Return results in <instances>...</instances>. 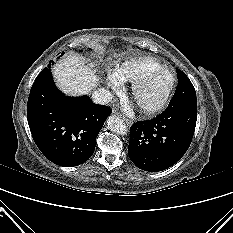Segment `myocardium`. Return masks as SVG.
I'll return each instance as SVG.
<instances>
[{
  "label": "myocardium",
  "mask_w": 233,
  "mask_h": 233,
  "mask_svg": "<svg viewBox=\"0 0 233 233\" xmlns=\"http://www.w3.org/2000/svg\"><path fill=\"white\" fill-rule=\"evenodd\" d=\"M156 73H163L167 75L169 78V84L162 96L158 100L150 104H143L139 100L140 92L143 89V87L147 84V82L150 80V78ZM175 82L176 79L174 73L170 69L165 67L151 69L144 73L135 82H133L131 88V95L140 112L145 115H152L162 110L171 97V94L175 87Z\"/></svg>",
  "instance_id": "myocardium-1"
}]
</instances>
